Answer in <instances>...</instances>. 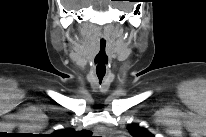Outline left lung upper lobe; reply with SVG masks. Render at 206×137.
I'll return each instance as SVG.
<instances>
[{"label":"left lung upper lobe","instance_id":"1","mask_svg":"<svg viewBox=\"0 0 206 137\" xmlns=\"http://www.w3.org/2000/svg\"><path fill=\"white\" fill-rule=\"evenodd\" d=\"M127 129L133 137H154L147 129L138 124H131Z\"/></svg>","mask_w":206,"mask_h":137}]
</instances>
